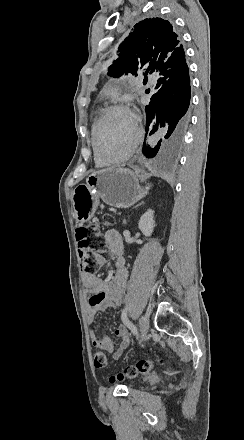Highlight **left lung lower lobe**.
<instances>
[{"label": "left lung lower lobe", "mask_w": 244, "mask_h": 440, "mask_svg": "<svg viewBox=\"0 0 244 440\" xmlns=\"http://www.w3.org/2000/svg\"><path fill=\"white\" fill-rule=\"evenodd\" d=\"M156 75L159 77L156 93L151 97L146 109V132L150 134L159 128H165L162 141L153 148L146 147V157H155L158 151L162 155H172L183 145L190 123L187 112L190 103V78L185 57L178 63L162 66Z\"/></svg>", "instance_id": "obj_1"}]
</instances>
